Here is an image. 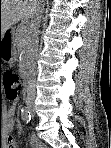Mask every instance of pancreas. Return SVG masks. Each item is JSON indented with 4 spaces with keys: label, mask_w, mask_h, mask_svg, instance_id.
<instances>
[{
    "label": "pancreas",
    "mask_w": 111,
    "mask_h": 148,
    "mask_svg": "<svg viewBox=\"0 0 111 148\" xmlns=\"http://www.w3.org/2000/svg\"><path fill=\"white\" fill-rule=\"evenodd\" d=\"M15 41L17 45L18 52H21L22 59L20 60V64L25 63V59L27 56V51L29 48V34L27 32V27L24 25H20L16 29ZM21 69H25V66L22 65Z\"/></svg>",
    "instance_id": "obj_1"
}]
</instances>
